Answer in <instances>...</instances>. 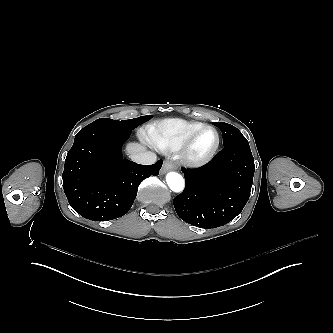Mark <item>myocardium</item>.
Listing matches in <instances>:
<instances>
[{"label":"myocardium","instance_id":"obj_1","mask_svg":"<svg viewBox=\"0 0 333 333\" xmlns=\"http://www.w3.org/2000/svg\"><path fill=\"white\" fill-rule=\"evenodd\" d=\"M212 129L216 134V144L210 153L203 157H195L191 154L190 148L194 138L203 130V129ZM221 145V137L219 131L213 125H201L192 132H190L184 141L181 144L179 149V159L182 164L189 167H202L210 163L216 156Z\"/></svg>","mask_w":333,"mask_h":333}]
</instances>
